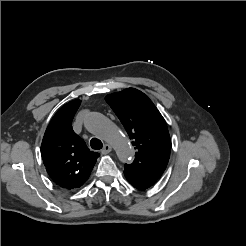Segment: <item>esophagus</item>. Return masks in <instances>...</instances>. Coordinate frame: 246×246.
<instances>
[{
  "label": "esophagus",
  "mask_w": 246,
  "mask_h": 246,
  "mask_svg": "<svg viewBox=\"0 0 246 246\" xmlns=\"http://www.w3.org/2000/svg\"><path fill=\"white\" fill-rule=\"evenodd\" d=\"M112 151V147L109 144H105L103 149L101 150L102 154H108Z\"/></svg>",
  "instance_id": "1"
}]
</instances>
